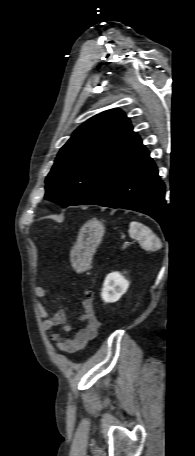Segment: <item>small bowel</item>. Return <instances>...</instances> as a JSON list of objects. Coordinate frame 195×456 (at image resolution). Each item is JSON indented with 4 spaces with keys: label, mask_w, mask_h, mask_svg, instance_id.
Returning <instances> with one entry per match:
<instances>
[{
    "label": "small bowel",
    "mask_w": 195,
    "mask_h": 456,
    "mask_svg": "<svg viewBox=\"0 0 195 456\" xmlns=\"http://www.w3.org/2000/svg\"><path fill=\"white\" fill-rule=\"evenodd\" d=\"M34 293L41 299V302L37 303V311L43 318V327L46 332L51 334L55 346L61 352L67 354L76 353L84 349L97 336L99 321L95 315L93 294L91 291H86L81 301L83 307L81 319L85 322V326L78 330L72 338H67L55 331L57 326H61L63 332H69L71 330L65 312L58 310L53 315H50L46 307L48 302L46 290L42 286H36Z\"/></svg>",
    "instance_id": "obj_1"
}]
</instances>
